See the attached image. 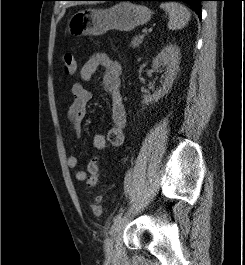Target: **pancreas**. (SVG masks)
Wrapping results in <instances>:
<instances>
[{"label": "pancreas", "mask_w": 245, "mask_h": 265, "mask_svg": "<svg viewBox=\"0 0 245 265\" xmlns=\"http://www.w3.org/2000/svg\"><path fill=\"white\" fill-rule=\"evenodd\" d=\"M141 43H142V39L140 38V36L136 35L135 37H133L130 47L137 48L140 46Z\"/></svg>", "instance_id": "1"}]
</instances>
